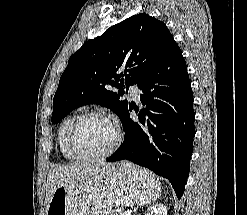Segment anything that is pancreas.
Returning <instances> with one entry per match:
<instances>
[{"label":"pancreas","mask_w":247,"mask_h":215,"mask_svg":"<svg viewBox=\"0 0 247 215\" xmlns=\"http://www.w3.org/2000/svg\"><path fill=\"white\" fill-rule=\"evenodd\" d=\"M106 215H124V211L123 210H120V211L110 210L106 212Z\"/></svg>","instance_id":"pancreas-1"}]
</instances>
